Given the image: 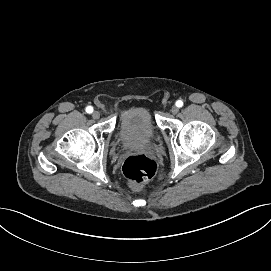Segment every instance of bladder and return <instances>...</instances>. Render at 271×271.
Here are the masks:
<instances>
[{
    "label": "bladder",
    "mask_w": 271,
    "mask_h": 271,
    "mask_svg": "<svg viewBox=\"0 0 271 271\" xmlns=\"http://www.w3.org/2000/svg\"><path fill=\"white\" fill-rule=\"evenodd\" d=\"M155 133L154 120L142 105L133 106L121 113L115 129L116 137L123 143H150Z\"/></svg>",
    "instance_id": "31cf9c89"
}]
</instances>
